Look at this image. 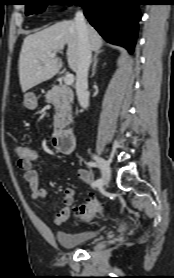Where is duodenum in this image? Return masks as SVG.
Listing matches in <instances>:
<instances>
[{
	"instance_id": "obj_1",
	"label": "duodenum",
	"mask_w": 174,
	"mask_h": 278,
	"mask_svg": "<svg viewBox=\"0 0 174 278\" xmlns=\"http://www.w3.org/2000/svg\"><path fill=\"white\" fill-rule=\"evenodd\" d=\"M51 140L54 147L64 154L71 153L74 149L75 136L73 131L69 128L56 130Z\"/></svg>"
}]
</instances>
